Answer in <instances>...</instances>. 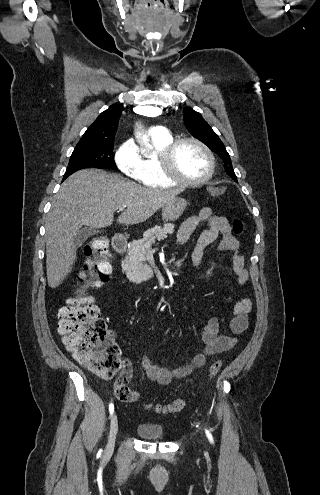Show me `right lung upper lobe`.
<instances>
[{
  "label": "right lung upper lobe",
  "instance_id": "cb5924a9",
  "mask_svg": "<svg viewBox=\"0 0 320 495\" xmlns=\"http://www.w3.org/2000/svg\"><path fill=\"white\" fill-rule=\"evenodd\" d=\"M122 107L112 105L86 130L77 145L113 144Z\"/></svg>",
  "mask_w": 320,
  "mask_h": 495
}]
</instances>
